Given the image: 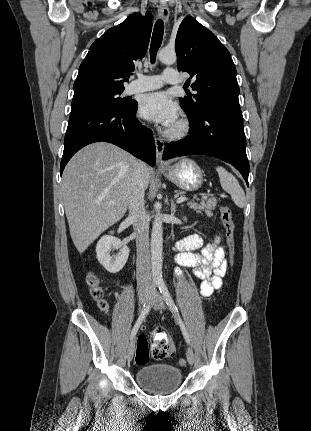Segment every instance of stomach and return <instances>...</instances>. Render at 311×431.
I'll return each instance as SVG.
<instances>
[{
    "label": "stomach",
    "instance_id": "0dacf381",
    "mask_svg": "<svg viewBox=\"0 0 311 431\" xmlns=\"http://www.w3.org/2000/svg\"><path fill=\"white\" fill-rule=\"evenodd\" d=\"M167 180L173 182L180 190L185 192H194L201 188L203 184V172L197 166L196 162L189 158H182L174 166H170L168 170H161Z\"/></svg>",
    "mask_w": 311,
    "mask_h": 431
}]
</instances>
